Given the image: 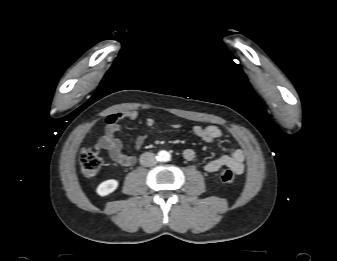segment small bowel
I'll return each instance as SVG.
<instances>
[{"label": "small bowel", "mask_w": 337, "mask_h": 261, "mask_svg": "<svg viewBox=\"0 0 337 261\" xmlns=\"http://www.w3.org/2000/svg\"><path fill=\"white\" fill-rule=\"evenodd\" d=\"M139 117L136 110H127L123 112H117L110 114L106 117L105 128L102 136L100 137L99 144L105 149L110 158L116 163L122 166H132L136 162V158L133 155L123 152V143L116 135L121 132L120 122L122 120L134 121ZM145 124L148 127L155 125V119L153 117H146ZM171 128L176 130L180 128L179 123H173ZM193 133L203 139L206 142L212 143L215 140L222 137V131L215 125H195L192 129ZM147 140V134L139 135L134 142V148L139 150ZM183 157L187 161H193L196 158V152L191 149H185ZM244 160L245 155L243 150L236 149L230 155H222L216 157L206 163L204 169L208 173H215L222 167L230 168L235 174H242L244 172Z\"/></svg>", "instance_id": "obj_1"}]
</instances>
